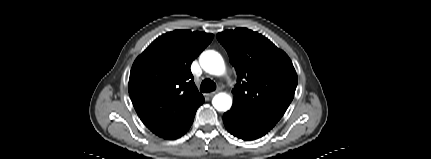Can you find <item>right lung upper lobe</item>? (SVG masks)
Listing matches in <instances>:
<instances>
[{"label": "right lung upper lobe", "mask_w": 431, "mask_h": 159, "mask_svg": "<svg viewBox=\"0 0 431 159\" xmlns=\"http://www.w3.org/2000/svg\"><path fill=\"white\" fill-rule=\"evenodd\" d=\"M213 34L175 30L159 36L135 60L129 95L142 122L156 135L174 133L203 100L190 70Z\"/></svg>", "instance_id": "right-lung-upper-lobe-1"}]
</instances>
